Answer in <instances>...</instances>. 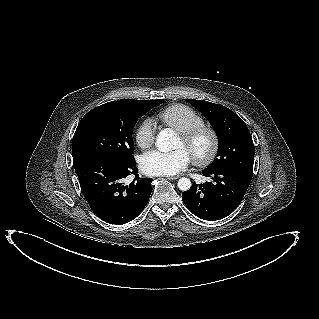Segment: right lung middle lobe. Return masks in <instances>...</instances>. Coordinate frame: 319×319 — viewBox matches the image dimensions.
<instances>
[{"label": "right lung middle lobe", "instance_id": "1", "mask_svg": "<svg viewBox=\"0 0 319 319\" xmlns=\"http://www.w3.org/2000/svg\"><path fill=\"white\" fill-rule=\"evenodd\" d=\"M162 100L124 99L90 110L80 121L72 140L74 167L95 158L132 160L133 127L141 116Z\"/></svg>", "mask_w": 319, "mask_h": 319}]
</instances>
